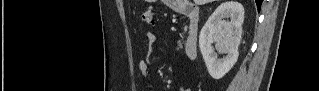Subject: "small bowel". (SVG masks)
<instances>
[{
    "instance_id": "1",
    "label": "small bowel",
    "mask_w": 319,
    "mask_h": 91,
    "mask_svg": "<svg viewBox=\"0 0 319 91\" xmlns=\"http://www.w3.org/2000/svg\"><path fill=\"white\" fill-rule=\"evenodd\" d=\"M146 38L149 43L150 49L158 42V37L154 32H148L146 34ZM150 66H151V60L149 58H144L139 63V68L145 76L148 74Z\"/></svg>"
}]
</instances>
